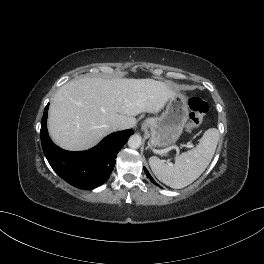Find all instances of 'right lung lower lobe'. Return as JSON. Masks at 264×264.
<instances>
[{
    "mask_svg": "<svg viewBox=\"0 0 264 264\" xmlns=\"http://www.w3.org/2000/svg\"><path fill=\"white\" fill-rule=\"evenodd\" d=\"M47 104L41 120L43 152L53 170L66 182L79 189H94L105 183L114 169L115 158L133 130L115 132L94 148L82 152L63 150L51 141L47 132Z\"/></svg>",
    "mask_w": 264,
    "mask_h": 264,
    "instance_id": "1",
    "label": "right lung lower lobe"
}]
</instances>
